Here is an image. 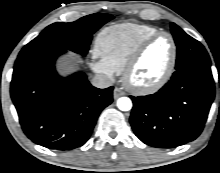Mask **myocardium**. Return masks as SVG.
Masks as SVG:
<instances>
[{
	"label": "myocardium",
	"instance_id": "myocardium-1",
	"mask_svg": "<svg viewBox=\"0 0 220 173\" xmlns=\"http://www.w3.org/2000/svg\"><path fill=\"white\" fill-rule=\"evenodd\" d=\"M163 36L168 37L171 43V57H170V62H169V65L166 71L162 74V76L158 80H156L155 82L149 85H136L132 83L130 80V75L133 72V70L136 68L144 51L152 42H154L155 40ZM176 62H177V44H176V41L173 35L166 31H159L145 38L136 47V49L132 53L131 57L127 61L122 71L123 83L130 91L138 95H149V94L155 93L169 81V79L171 78L175 70Z\"/></svg>",
	"mask_w": 220,
	"mask_h": 173
}]
</instances>
